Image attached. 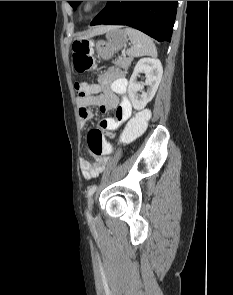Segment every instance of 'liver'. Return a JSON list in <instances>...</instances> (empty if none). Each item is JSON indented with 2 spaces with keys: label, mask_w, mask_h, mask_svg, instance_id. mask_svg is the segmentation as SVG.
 Listing matches in <instances>:
<instances>
[{
  "label": "liver",
  "mask_w": 233,
  "mask_h": 295,
  "mask_svg": "<svg viewBox=\"0 0 233 295\" xmlns=\"http://www.w3.org/2000/svg\"><path fill=\"white\" fill-rule=\"evenodd\" d=\"M115 27L113 26H100L95 28L92 33L89 35V37L94 36V35H98V34H103L111 29H113Z\"/></svg>",
  "instance_id": "6515ba94"
}]
</instances>
